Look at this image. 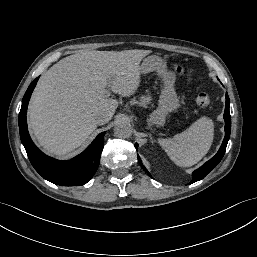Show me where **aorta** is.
Returning a JSON list of instances; mask_svg holds the SVG:
<instances>
[{
	"label": "aorta",
	"instance_id": "aorta-1",
	"mask_svg": "<svg viewBox=\"0 0 257 257\" xmlns=\"http://www.w3.org/2000/svg\"><path fill=\"white\" fill-rule=\"evenodd\" d=\"M114 134L119 138H128L132 134V126L128 121H120L114 127Z\"/></svg>",
	"mask_w": 257,
	"mask_h": 257
}]
</instances>
